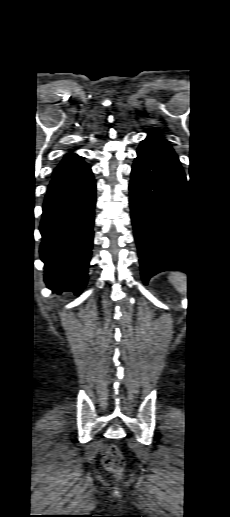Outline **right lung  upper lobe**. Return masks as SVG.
<instances>
[{
  "instance_id": "1",
  "label": "right lung upper lobe",
  "mask_w": 230,
  "mask_h": 517,
  "mask_svg": "<svg viewBox=\"0 0 230 517\" xmlns=\"http://www.w3.org/2000/svg\"><path fill=\"white\" fill-rule=\"evenodd\" d=\"M84 161L82 158L76 154H67L65 155L64 159L61 161V163L58 165V167L54 170L53 177L59 176L61 174H64L81 164H83Z\"/></svg>"
}]
</instances>
